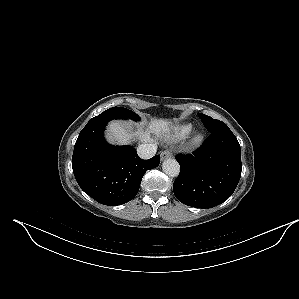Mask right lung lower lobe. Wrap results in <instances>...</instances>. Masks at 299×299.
<instances>
[{
  "label": "right lung lower lobe",
  "instance_id": "obj_1",
  "mask_svg": "<svg viewBox=\"0 0 299 299\" xmlns=\"http://www.w3.org/2000/svg\"><path fill=\"white\" fill-rule=\"evenodd\" d=\"M112 119H122L103 112L93 117L81 130L74 146L72 168L80 188L104 205H120L138 193L147 170L157 167L160 156L142 160L132 146H113L103 131Z\"/></svg>",
  "mask_w": 299,
  "mask_h": 299
}]
</instances>
